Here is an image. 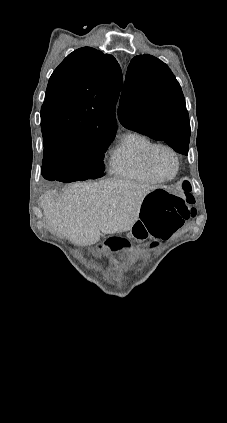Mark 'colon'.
<instances>
[{"mask_svg": "<svg viewBox=\"0 0 227 423\" xmlns=\"http://www.w3.org/2000/svg\"><path fill=\"white\" fill-rule=\"evenodd\" d=\"M184 192L180 196L165 188H157L147 193L142 203L140 220L152 235L165 239L194 215L195 211L191 207L193 196L187 183L184 184ZM135 233L137 231L133 230ZM109 243L115 247L121 240L112 238Z\"/></svg>", "mask_w": 227, "mask_h": 423, "instance_id": "colon-1", "label": "colon"}]
</instances>
